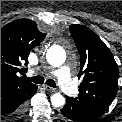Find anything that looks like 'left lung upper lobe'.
Wrapping results in <instances>:
<instances>
[{
	"instance_id": "obj_1",
	"label": "left lung upper lobe",
	"mask_w": 122,
	"mask_h": 122,
	"mask_svg": "<svg viewBox=\"0 0 122 122\" xmlns=\"http://www.w3.org/2000/svg\"><path fill=\"white\" fill-rule=\"evenodd\" d=\"M70 33L80 54L83 81L78 99L107 110L118 89V66L109 48L89 28L72 24Z\"/></svg>"
}]
</instances>
